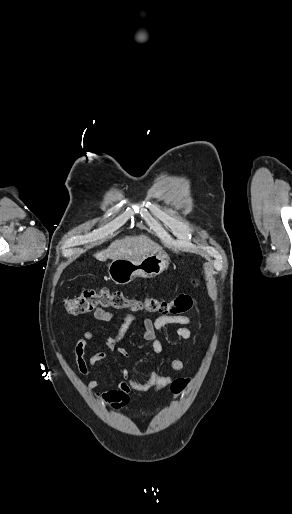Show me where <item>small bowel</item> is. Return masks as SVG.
<instances>
[{"label":"small bowel","instance_id":"1","mask_svg":"<svg viewBox=\"0 0 292 514\" xmlns=\"http://www.w3.org/2000/svg\"><path fill=\"white\" fill-rule=\"evenodd\" d=\"M93 315L100 322H109L113 319V313L102 308H97ZM136 323L141 324L143 339L152 343V349L155 354H160L163 351L162 344L157 339V333L168 325H180L175 330V335L180 339L190 340L193 337L192 331L185 327L190 324V318L187 316H160L155 320L150 318L139 320L134 313H128L123 317L120 332L117 335L106 338V347L111 351L116 350L123 357H128V351L125 348L119 347V344L125 329ZM93 337V331H85L74 346V356L78 371L84 376L92 377L87 384L90 390H96L99 386L100 381L95 377V368L99 362L107 358V354L104 352L96 353L89 358L86 357V349ZM167 368L171 371L179 372L185 369V363L180 359H171L167 363ZM174 381V376L164 375L157 370H152L145 381H138L131 377L128 370H124L123 380L112 383L110 385L111 388L107 391L97 392L96 397L103 403L111 404L110 409L114 408L116 411H119L121 407L128 403V395L131 390L137 392H147L152 389L161 390L166 388L167 385H171ZM112 404H115V406L113 407Z\"/></svg>","mask_w":292,"mask_h":514}]
</instances>
